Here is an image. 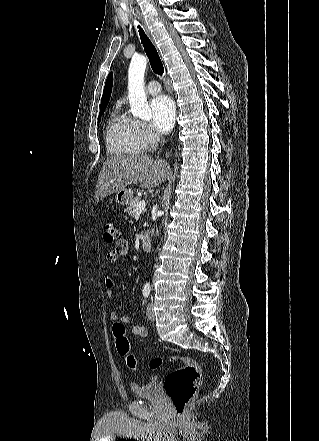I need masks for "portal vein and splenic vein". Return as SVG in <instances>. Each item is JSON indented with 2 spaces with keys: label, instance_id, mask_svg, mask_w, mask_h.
Segmentation results:
<instances>
[{
  "label": "portal vein and splenic vein",
  "instance_id": "1",
  "mask_svg": "<svg viewBox=\"0 0 319 441\" xmlns=\"http://www.w3.org/2000/svg\"><path fill=\"white\" fill-rule=\"evenodd\" d=\"M145 200L140 201L137 206H136V213L135 214H140L145 210Z\"/></svg>",
  "mask_w": 319,
  "mask_h": 441
}]
</instances>
